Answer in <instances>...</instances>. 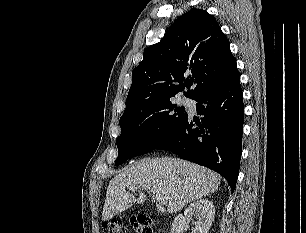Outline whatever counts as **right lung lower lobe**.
<instances>
[{"label": "right lung lower lobe", "mask_w": 306, "mask_h": 233, "mask_svg": "<svg viewBox=\"0 0 306 233\" xmlns=\"http://www.w3.org/2000/svg\"><path fill=\"white\" fill-rule=\"evenodd\" d=\"M196 101L197 113L203 116L201 122L188 116L179 129L156 148L218 172L233 192L239 173L244 121L238 71Z\"/></svg>", "instance_id": "obj_1"}]
</instances>
